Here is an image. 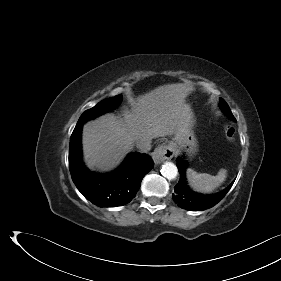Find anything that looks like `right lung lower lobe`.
<instances>
[{
	"label": "right lung lower lobe",
	"mask_w": 281,
	"mask_h": 281,
	"mask_svg": "<svg viewBox=\"0 0 281 281\" xmlns=\"http://www.w3.org/2000/svg\"><path fill=\"white\" fill-rule=\"evenodd\" d=\"M82 125H76L70 139L69 169L74 184L86 199L99 207L129 203L135 197L143 177L154 166L152 159L146 154L131 153L111 174L92 173L82 162Z\"/></svg>",
	"instance_id": "obj_1"
}]
</instances>
